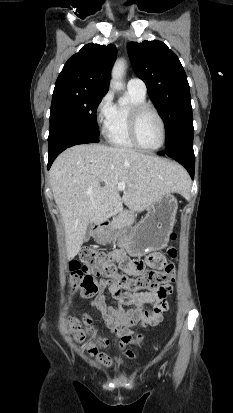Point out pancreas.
<instances>
[{
    "label": "pancreas",
    "instance_id": "pancreas-1",
    "mask_svg": "<svg viewBox=\"0 0 233 413\" xmlns=\"http://www.w3.org/2000/svg\"><path fill=\"white\" fill-rule=\"evenodd\" d=\"M134 219L135 215L133 211L123 210L117 217L113 218L109 226L112 229H120L127 225H132L134 223Z\"/></svg>",
    "mask_w": 233,
    "mask_h": 413
}]
</instances>
